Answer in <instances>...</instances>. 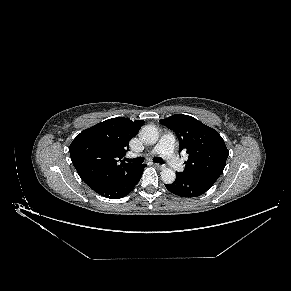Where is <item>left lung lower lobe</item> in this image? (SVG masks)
Here are the masks:
<instances>
[{"mask_svg": "<svg viewBox=\"0 0 291 291\" xmlns=\"http://www.w3.org/2000/svg\"><path fill=\"white\" fill-rule=\"evenodd\" d=\"M217 179L213 176L189 177L182 172H177L175 181L172 184H165V186L177 196L191 198L204 194Z\"/></svg>", "mask_w": 291, "mask_h": 291, "instance_id": "0a47b994", "label": "left lung lower lobe"}]
</instances>
